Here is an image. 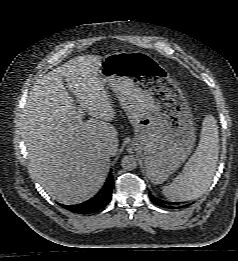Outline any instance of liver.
<instances>
[{
  "label": "liver",
  "instance_id": "obj_1",
  "mask_svg": "<svg viewBox=\"0 0 238 261\" xmlns=\"http://www.w3.org/2000/svg\"><path fill=\"white\" fill-rule=\"evenodd\" d=\"M102 60L100 55L77 56L40 77L21 120L30 173L63 204L94 196L107 178L110 156L118 151V132L110 123L115 110L100 76ZM80 109L92 118H77Z\"/></svg>",
  "mask_w": 238,
  "mask_h": 261
}]
</instances>
